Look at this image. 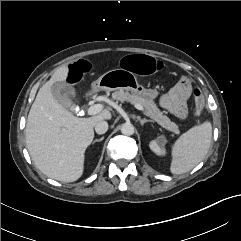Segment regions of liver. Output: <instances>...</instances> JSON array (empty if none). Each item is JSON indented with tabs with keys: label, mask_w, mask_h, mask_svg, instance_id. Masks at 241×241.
<instances>
[{
	"label": "liver",
	"mask_w": 241,
	"mask_h": 241,
	"mask_svg": "<svg viewBox=\"0 0 241 241\" xmlns=\"http://www.w3.org/2000/svg\"><path fill=\"white\" fill-rule=\"evenodd\" d=\"M67 66L59 67L38 91L25 129L26 145L36 167L46 176L63 182L78 180L84 170L85 150L94 138L97 122L111 119L105 109L89 118H78L52 95L51 87L64 82Z\"/></svg>",
	"instance_id": "1"
}]
</instances>
